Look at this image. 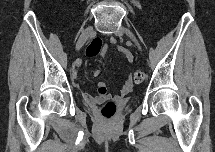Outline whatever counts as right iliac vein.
Masks as SVG:
<instances>
[{"instance_id":"63e3f726","label":"right iliac vein","mask_w":215,"mask_h":152,"mask_svg":"<svg viewBox=\"0 0 215 152\" xmlns=\"http://www.w3.org/2000/svg\"><path fill=\"white\" fill-rule=\"evenodd\" d=\"M93 33L91 26L84 29L76 43V50L79 51Z\"/></svg>"}]
</instances>
